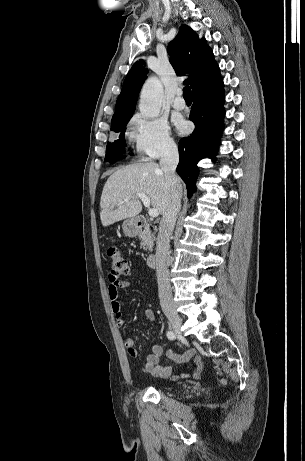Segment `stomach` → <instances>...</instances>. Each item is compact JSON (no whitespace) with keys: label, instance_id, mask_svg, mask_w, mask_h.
<instances>
[{"label":"stomach","instance_id":"0dacf381","mask_svg":"<svg viewBox=\"0 0 305 461\" xmlns=\"http://www.w3.org/2000/svg\"><path fill=\"white\" fill-rule=\"evenodd\" d=\"M122 229L125 236L135 237L139 234V228L133 219H127L122 224Z\"/></svg>","mask_w":305,"mask_h":461}]
</instances>
